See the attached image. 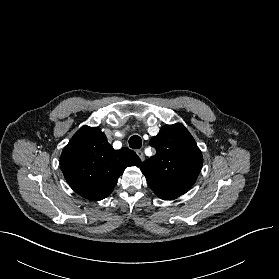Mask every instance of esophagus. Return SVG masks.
I'll return each mask as SVG.
<instances>
[{
	"mask_svg": "<svg viewBox=\"0 0 279 279\" xmlns=\"http://www.w3.org/2000/svg\"><path fill=\"white\" fill-rule=\"evenodd\" d=\"M136 153L139 156V158L141 159V161H144V159H145L144 153L141 150H137Z\"/></svg>",
	"mask_w": 279,
	"mask_h": 279,
	"instance_id": "obj_1",
	"label": "esophagus"
}]
</instances>
